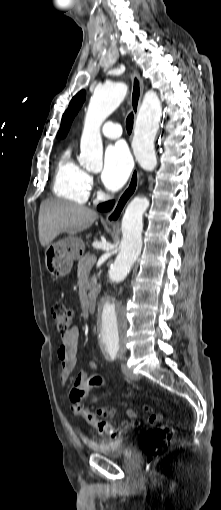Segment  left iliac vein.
<instances>
[{"label":"left iliac vein","instance_id":"4c4485c4","mask_svg":"<svg viewBox=\"0 0 221 510\" xmlns=\"http://www.w3.org/2000/svg\"><path fill=\"white\" fill-rule=\"evenodd\" d=\"M120 356H122V354H121ZM121 367H122V371H123V373L125 374V376H126V377H128L129 379L134 380V381H136V380H138V379H139L138 375H137V374H135V373H134V372H133V371H132V370H131L128 366H127V364L123 363Z\"/></svg>","mask_w":221,"mask_h":510}]
</instances>
